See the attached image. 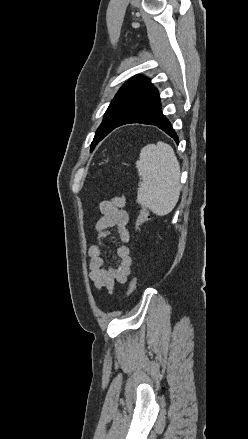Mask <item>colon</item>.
<instances>
[{"instance_id":"colon-1","label":"colon","mask_w":248,"mask_h":439,"mask_svg":"<svg viewBox=\"0 0 248 439\" xmlns=\"http://www.w3.org/2000/svg\"><path fill=\"white\" fill-rule=\"evenodd\" d=\"M150 219V214L148 210L145 207H140L139 214L136 221V232L139 233L141 230V227L148 222ZM137 288V278L133 277L132 280L129 283L128 290H127V296H131Z\"/></svg>"}]
</instances>
